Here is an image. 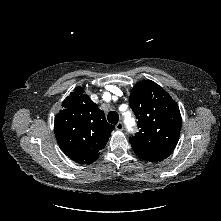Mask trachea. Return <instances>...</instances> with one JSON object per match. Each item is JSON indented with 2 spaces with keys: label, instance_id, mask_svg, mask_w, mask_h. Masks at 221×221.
<instances>
[{
  "label": "trachea",
  "instance_id": "3493384b",
  "mask_svg": "<svg viewBox=\"0 0 221 221\" xmlns=\"http://www.w3.org/2000/svg\"><path fill=\"white\" fill-rule=\"evenodd\" d=\"M107 118H108V121H109L111 124H117V123H118V120H119V115H118L117 112L111 111V112H109Z\"/></svg>",
  "mask_w": 221,
  "mask_h": 221
}]
</instances>
